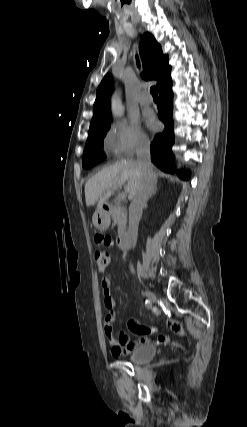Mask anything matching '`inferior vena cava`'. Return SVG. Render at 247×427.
<instances>
[{
  "mask_svg": "<svg viewBox=\"0 0 247 427\" xmlns=\"http://www.w3.org/2000/svg\"><path fill=\"white\" fill-rule=\"evenodd\" d=\"M137 163L142 170L141 185L129 206L128 237L132 247L137 239L138 224L142 216L143 208L146 207L148 199L155 191L156 176L150 159V142L141 140L137 148ZM133 271V267L130 266Z\"/></svg>",
  "mask_w": 247,
  "mask_h": 427,
  "instance_id": "inferior-vena-cava-1",
  "label": "inferior vena cava"
}]
</instances>
